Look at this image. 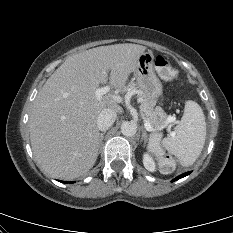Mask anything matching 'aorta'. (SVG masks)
<instances>
[{
    "instance_id": "1",
    "label": "aorta",
    "mask_w": 233,
    "mask_h": 233,
    "mask_svg": "<svg viewBox=\"0 0 233 233\" xmlns=\"http://www.w3.org/2000/svg\"><path fill=\"white\" fill-rule=\"evenodd\" d=\"M137 132V126L133 122H123L121 125V133L125 136H134Z\"/></svg>"
}]
</instances>
